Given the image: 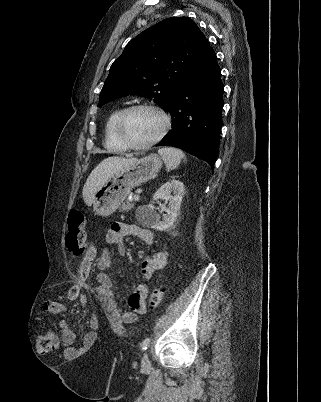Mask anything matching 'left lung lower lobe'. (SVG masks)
Returning a JSON list of instances; mask_svg holds the SVG:
<instances>
[{
    "instance_id": "0a47b994",
    "label": "left lung lower lobe",
    "mask_w": 321,
    "mask_h": 402,
    "mask_svg": "<svg viewBox=\"0 0 321 402\" xmlns=\"http://www.w3.org/2000/svg\"><path fill=\"white\" fill-rule=\"evenodd\" d=\"M223 104L221 70L208 44L172 92L166 107L172 117V129L156 146L183 149L214 169Z\"/></svg>"
}]
</instances>
